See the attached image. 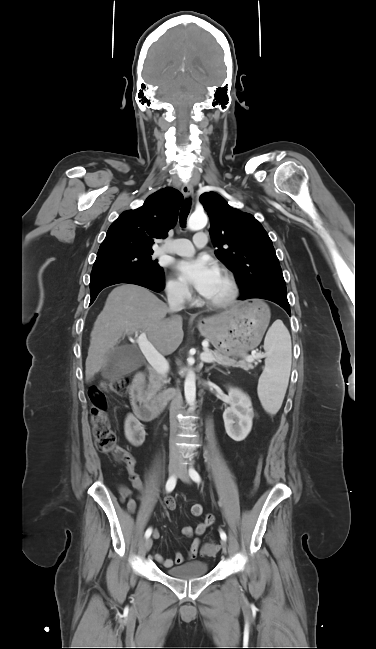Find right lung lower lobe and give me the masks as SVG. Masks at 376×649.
I'll use <instances>...</instances> for the list:
<instances>
[{
	"instance_id": "1",
	"label": "right lung lower lobe",
	"mask_w": 376,
	"mask_h": 649,
	"mask_svg": "<svg viewBox=\"0 0 376 649\" xmlns=\"http://www.w3.org/2000/svg\"><path fill=\"white\" fill-rule=\"evenodd\" d=\"M118 283L136 284L159 292L164 288V273L163 271L160 273H150L126 269H110L93 274L90 280V304L93 303L102 289Z\"/></svg>"
}]
</instances>
